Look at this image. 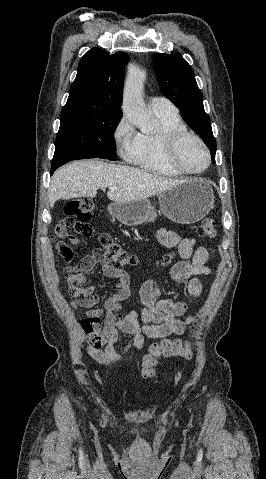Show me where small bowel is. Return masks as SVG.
Instances as JSON below:
<instances>
[{"mask_svg": "<svg viewBox=\"0 0 266 479\" xmlns=\"http://www.w3.org/2000/svg\"><path fill=\"white\" fill-rule=\"evenodd\" d=\"M64 237L72 244L78 240L70 234ZM158 238L165 247H178L181 261L177 262L171 270V278L175 284L187 294L200 297L202 284L195 276L210 274V268L206 265L208 251L206 248L196 247V239L182 237L174 231L160 229ZM69 245V244H68ZM101 265V271L105 277L116 279L118 289L100 307H93L86 297L72 296V307L89 308L82 320L80 327L86 335V351L98 363L110 366L116 364L131 349H141L144 337L150 339H163L171 334L181 335L187 325L194 322V317L186 320L179 319L187 309L188 304L184 301H175L162 297L160 287L153 281L147 280L140 288L139 294L142 307L127 314L122 311V301L130 296L129 277L122 269H116L106 263L99 251H94L80 265L65 267L69 287L74 278H77L78 286L86 281V274L96 265ZM106 313L104 320L101 319ZM141 320L142 325L139 324ZM120 333L132 337L130 343L124 348L122 354L115 350V343Z\"/></svg>", "mask_w": 266, "mask_h": 479, "instance_id": "1", "label": "small bowel"}]
</instances>
